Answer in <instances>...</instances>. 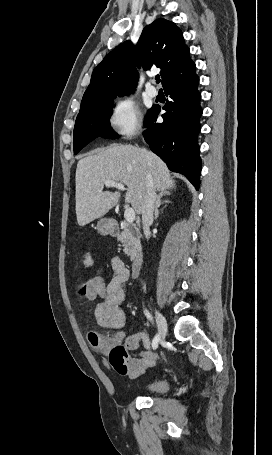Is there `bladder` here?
Returning a JSON list of instances; mask_svg holds the SVG:
<instances>
[{"mask_svg":"<svg viewBox=\"0 0 272 455\" xmlns=\"http://www.w3.org/2000/svg\"><path fill=\"white\" fill-rule=\"evenodd\" d=\"M170 388V381L167 378H158L145 386V391L149 394H163Z\"/></svg>","mask_w":272,"mask_h":455,"instance_id":"1","label":"bladder"}]
</instances>
